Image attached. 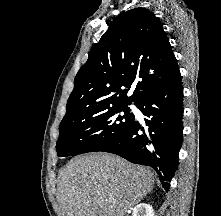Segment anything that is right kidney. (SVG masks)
<instances>
[{
  "mask_svg": "<svg viewBox=\"0 0 221 216\" xmlns=\"http://www.w3.org/2000/svg\"><path fill=\"white\" fill-rule=\"evenodd\" d=\"M132 216H155V214L151 205L141 203L133 209Z\"/></svg>",
  "mask_w": 221,
  "mask_h": 216,
  "instance_id": "right-kidney-1",
  "label": "right kidney"
}]
</instances>
